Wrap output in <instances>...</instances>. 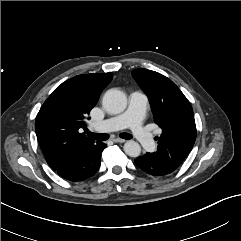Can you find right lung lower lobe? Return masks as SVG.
I'll return each instance as SVG.
<instances>
[{"label":"right lung lower lobe","instance_id":"obj_1","mask_svg":"<svg viewBox=\"0 0 241 241\" xmlns=\"http://www.w3.org/2000/svg\"><path fill=\"white\" fill-rule=\"evenodd\" d=\"M106 147L99 142L86 152L75 153L60 169L55 172L62 178L77 182L93 176L100 167L101 153Z\"/></svg>","mask_w":241,"mask_h":241}]
</instances>
